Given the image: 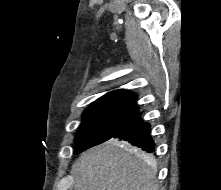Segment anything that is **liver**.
Returning a JSON list of instances; mask_svg holds the SVG:
<instances>
[{"mask_svg":"<svg viewBox=\"0 0 221 190\" xmlns=\"http://www.w3.org/2000/svg\"><path fill=\"white\" fill-rule=\"evenodd\" d=\"M71 173L74 190H158L152 157L117 140L84 152Z\"/></svg>","mask_w":221,"mask_h":190,"instance_id":"liver-1","label":"liver"}]
</instances>
